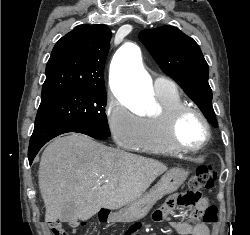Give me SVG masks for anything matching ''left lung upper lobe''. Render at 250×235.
Instances as JSON below:
<instances>
[{
  "label": "left lung upper lobe",
  "instance_id": "5c2ea615",
  "mask_svg": "<svg viewBox=\"0 0 250 235\" xmlns=\"http://www.w3.org/2000/svg\"><path fill=\"white\" fill-rule=\"evenodd\" d=\"M139 39L160 68L183 88L207 120L217 126L208 83L209 69L198 44L173 26L143 30Z\"/></svg>",
  "mask_w": 250,
  "mask_h": 235
}]
</instances>
